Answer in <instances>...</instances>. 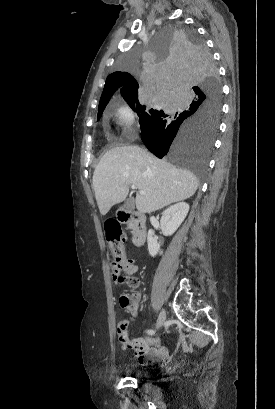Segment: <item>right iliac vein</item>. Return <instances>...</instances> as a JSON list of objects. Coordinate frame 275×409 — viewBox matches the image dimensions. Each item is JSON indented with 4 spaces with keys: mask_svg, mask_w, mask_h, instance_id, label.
<instances>
[{
    "mask_svg": "<svg viewBox=\"0 0 275 409\" xmlns=\"http://www.w3.org/2000/svg\"><path fill=\"white\" fill-rule=\"evenodd\" d=\"M165 320H166V313H165L164 310H162L159 313V316H158V319H157V328H160L163 325V323L165 322Z\"/></svg>",
    "mask_w": 275,
    "mask_h": 409,
    "instance_id": "63e3f726",
    "label": "right iliac vein"
}]
</instances>
